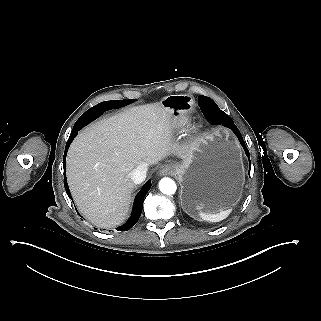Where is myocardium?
<instances>
[{
  "label": "myocardium",
  "instance_id": "obj_1",
  "mask_svg": "<svg viewBox=\"0 0 321 321\" xmlns=\"http://www.w3.org/2000/svg\"><path fill=\"white\" fill-rule=\"evenodd\" d=\"M201 135L202 126L197 122L188 123L182 131V138L188 144L198 141Z\"/></svg>",
  "mask_w": 321,
  "mask_h": 321
}]
</instances>
